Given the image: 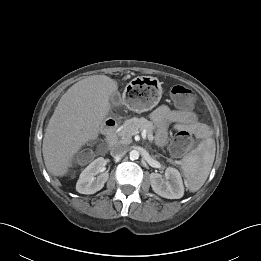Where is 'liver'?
Wrapping results in <instances>:
<instances>
[{"label":"liver","instance_id":"liver-1","mask_svg":"<svg viewBox=\"0 0 261 261\" xmlns=\"http://www.w3.org/2000/svg\"><path fill=\"white\" fill-rule=\"evenodd\" d=\"M118 84L94 75L72 85L60 98L45 130L42 153L47 171L64 176L80 148L98 137Z\"/></svg>","mask_w":261,"mask_h":261}]
</instances>
